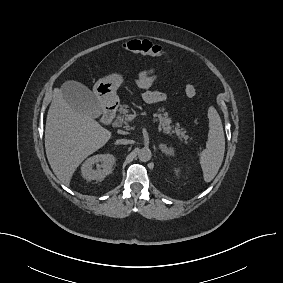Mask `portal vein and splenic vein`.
Segmentation results:
<instances>
[{"mask_svg":"<svg viewBox=\"0 0 283 283\" xmlns=\"http://www.w3.org/2000/svg\"><path fill=\"white\" fill-rule=\"evenodd\" d=\"M128 119H129V120L134 119V115H129V116H128Z\"/></svg>","mask_w":283,"mask_h":283,"instance_id":"portal-vein-and-splenic-vein-1","label":"portal vein and splenic vein"}]
</instances>
